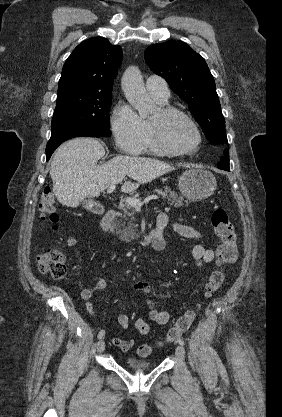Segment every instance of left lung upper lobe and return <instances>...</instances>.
<instances>
[{
    "instance_id": "1",
    "label": "left lung upper lobe",
    "mask_w": 282,
    "mask_h": 417,
    "mask_svg": "<svg viewBox=\"0 0 282 417\" xmlns=\"http://www.w3.org/2000/svg\"><path fill=\"white\" fill-rule=\"evenodd\" d=\"M151 70L165 78L186 103L211 144L226 146L225 120L213 76L205 60L186 43L169 40L144 52Z\"/></svg>"
}]
</instances>
